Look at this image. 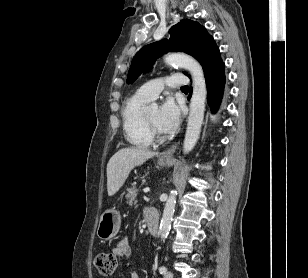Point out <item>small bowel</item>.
Listing matches in <instances>:
<instances>
[{"label": "small bowel", "instance_id": "obj_1", "mask_svg": "<svg viewBox=\"0 0 308 278\" xmlns=\"http://www.w3.org/2000/svg\"><path fill=\"white\" fill-rule=\"evenodd\" d=\"M112 253L116 256L129 258L132 256V251L127 239L120 240L112 249ZM129 278H139L138 275L131 271L129 273Z\"/></svg>", "mask_w": 308, "mask_h": 278}]
</instances>
